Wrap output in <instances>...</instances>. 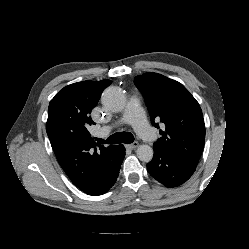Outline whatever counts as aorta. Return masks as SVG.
Returning a JSON list of instances; mask_svg holds the SVG:
<instances>
[{"label": "aorta", "mask_w": 249, "mask_h": 249, "mask_svg": "<svg viewBox=\"0 0 249 249\" xmlns=\"http://www.w3.org/2000/svg\"><path fill=\"white\" fill-rule=\"evenodd\" d=\"M126 103V97L121 88L116 86H109L102 94V104L112 112L121 111ZM137 157L142 162H150L153 158L154 151L148 145H141L138 147Z\"/></svg>", "instance_id": "obj_1"}]
</instances>
